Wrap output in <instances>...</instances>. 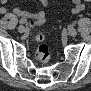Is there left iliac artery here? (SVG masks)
Segmentation results:
<instances>
[{"label":"left iliac artery","instance_id":"44dca946","mask_svg":"<svg viewBox=\"0 0 91 91\" xmlns=\"http://www.w3.org/2000/svg\"><path fill=\"white\" fill-rule=\"evenodd\" d=\"M74 27H75V24H74V23H70V24H69V28H70V29H73Z\"/></svg>","mask_w":91,"mask_h":91}]
</instances>
